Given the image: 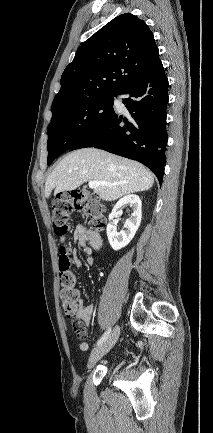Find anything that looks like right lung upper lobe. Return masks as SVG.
Segmentation results:
<instances>
[{"label":"right lung upper lobe","instance_id":"cb5924a9","mask_svg":"<svg viewBox=\"0 0 213 433\" xmlns=\"http://www.w3.org/2000/svg\"><path fill=\"white\" fill-rule=\"evenodd\" d=\"M159 58L153 33L144 21L122 14L77 50L61 76L52 114L99 95H119Z\"/></svg>","mask_w":213,"mask_h":433}]
</instances>
